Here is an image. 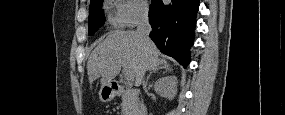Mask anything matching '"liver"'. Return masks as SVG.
Masks as SVG:
<instances>
[{"label":"liver","instance_id":"6515ba94","mask_svg":"<svg viewBox=\"0 0 285 115\" xmlns=\"http://www.w3.org/2000/svg\"><path fill=\"white\" fill-rule=\"evenodd\" d=\"M159 51L150 40L143 44L135 31L114 30L97 45L87 63L89 83L101 78L102 86L108 85L126 65L140 85L141 72L152 71L167 61L159 58Z\"/></svg>","mask_w":285,"mask_h":115}]
</instances>
